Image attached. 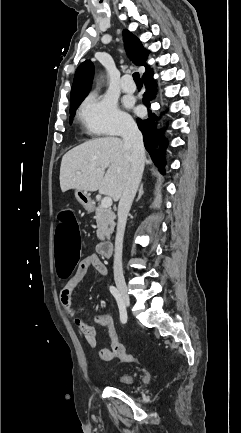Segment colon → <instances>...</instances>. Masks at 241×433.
<instances>
[{"instance_id":"obj_1","label":"colon","mask_w":241,"mask_h":433,"mask_svg":"<svg viewBox=\"0 0 241 433\" xmlns=\"http://www.w3.org/2000/svg\"><path fill=\"white\" fill-rule=\"evenodd\" d=\"M66 212H56L55 220L58 225H54V252H57L55 259V272H59L61 277H66L70 272H74L76 261H79L80 249V221L76 220L72 208L67 206ZM99 318V315H95ZM114 356L123 362H132L133 357L125 351L120 341H116L111 346Z\"/></svg>"}]
</instances>
